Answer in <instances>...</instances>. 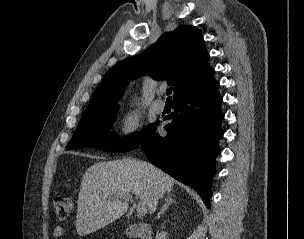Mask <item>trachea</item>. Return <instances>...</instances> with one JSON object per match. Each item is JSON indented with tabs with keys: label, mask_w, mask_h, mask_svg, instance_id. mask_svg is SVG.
I'll return each mask as SVG.
<instances>
[{
	"label": "trachea",
	"mask_w": 304,
	"mask_h": 239,
	"mask_svg": "<svg viewBox=\"0 0 304 239\" xmlns=\"http://www.w3.org/2000/svg\"><path fill=\"white\" fill-rule=\"evenodd\" d=\"M171 93H172V88H168L167 90H166V95L168 96V98H167V100H171Z\"/></svg>",
	"instance_id": "trachea-1"
}]
</instances>
